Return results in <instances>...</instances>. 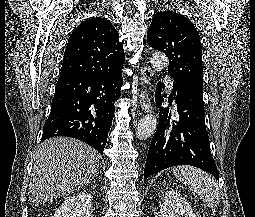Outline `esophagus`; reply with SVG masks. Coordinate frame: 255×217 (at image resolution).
<instances>
[{
    "label": "esophagus",
    "mask_w": 255,
    "mask_h": 217,
    "mask_svg": "<svg viewBox=\"0 0 255 217\" xmlns=\"http://www.w3.org/2000/svg\"><path fill=\"white\" fill-rule=\"evenodd\" d=\"M153 77V71L150 66L145 65L141 70V87L139 94V101L141 105V109L146 113H152L153 107L151 104V99L148 94V85L150 80Z\"/></svg>",
    "instance_id": "esophagus-1"
}]
</instances>
